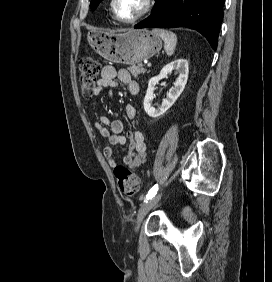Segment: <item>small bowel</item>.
<instances>
[{
  "label": "small bowel",
  "mask_w": 272,
  "mask_h": 282,
  "mask_svg": "<svg viewBox=\"0 0 272 282\" xmlns=\"http://www.w3.org/2000/svg\"><path fill=\"white\" fill-rule=\"evenodd\" d=\"M116 79L126 85L132 95L139 93V84L131 78L126 69L117 70L113 66H105L102 69L101 79L95 90V95L98 96L104 90L107 91L108 95H112V89L117 86ZM126 115L130 119L135 117L136 109L133 105L129 104L126 106ZM106 125L109 126L111 130L107 129L105 127ZM95 127L100 134L107 139L109 145L105 148L104 155L108 164L111 167H115L117 162L113 152V146L124 145L126 143V136L122 134L124 129L123 122L119 119L101 116L99 121L95 123ZM127 138L130 141L131 152L123 157L122 162L124 166L133 169L145 163L147 145L145 135L141 130L127 133Z\"/></svg>",
  "instance_id": "1"
}]
</instances>
